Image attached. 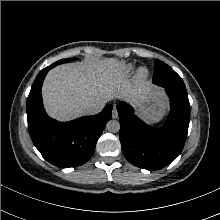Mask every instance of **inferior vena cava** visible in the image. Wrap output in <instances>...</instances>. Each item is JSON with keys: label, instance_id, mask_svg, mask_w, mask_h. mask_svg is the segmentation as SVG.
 <instances>
[{"label": "inferior vena cava", "instance_id": "inferior-vena-cava-1", "mask_svg": "<svg viewBox=\"0 0 220 220\" xmlns=\"http://www.w3.org/2000/svg\"><path fill=\"white\" fill-rule=\"evenodd\" d=\"M105 106L104 101L92 102L85 107V114L94 115L102 111Z\"/></svg>", "mask_w": 220, "mask_h": 220}]
</instances>
